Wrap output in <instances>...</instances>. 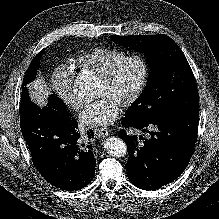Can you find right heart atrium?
<instances>
[{"label": "right heart atrium", "instance_id": "right-heart-atrium-1", "mask_svg": "<svg viewBox=\"0 0 219 219\" xmlns=\"http://www.w3.org/2000/svg\"><path fill=\"white\" fill-rule=\"evenodd\" d=\"M73 83V72L64 66L55 69L50 78V87L61 102L71 109L78 110L83 102L74 94Z\"/></svg>", "mask_w": 219, "mask_h": 219}]
</instances>
